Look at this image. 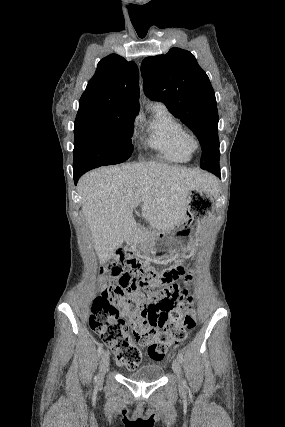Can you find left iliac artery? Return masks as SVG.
<instances>
[{
  "mask_svg": "<svg viewBox=\"0 0 285 427\" xmlns=\"http://www.w3.org/2000/svg\"><path fill=\"white\" fill-rule=\"evenodd\" d=\"M178 357H179V361L181 363H183L184 362V358H183V352L182 351L178 352ZM182 384L185 386V381L184 380L182 381Z\"/></svg>",
  "mask_w": 285,
  "mask_h": 427,
  "instance_id": "44dca946",
  "label": "left iliac artery"
}]
</instances>
